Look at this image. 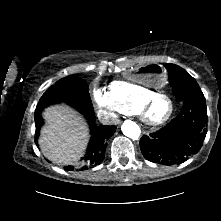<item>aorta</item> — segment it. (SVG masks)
Segmentation results:
<instances>
[{
  "instance_id": "aorta-1",
  "label": "aorta",
  "mask_w": 221,
  "mask_h": 221,
  "mask_svg": "<svg viewBox=\"0 0 221 221\" xmlns=\"http://www.w3.org/2000/svg\"><path fill=\"white\" fill-rule=\"evenodd\" d=\"M123 134L133 140H137L141 134L140 127L131 120H126L121 126Z\"/></svg>"
}]
</instances>
